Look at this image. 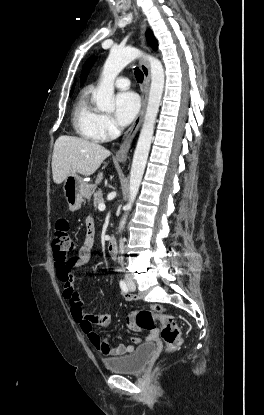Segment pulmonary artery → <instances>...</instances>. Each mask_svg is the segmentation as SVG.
<instances>
[{
    "mask_svg": "<svg viewBox=\"0 0 264 415\" xmlns=\"http://www.w3.org/2000/svg\"><path fill=\"white\" fill-rule=\"evenodd\" d=\"M114 85L118 89L126 90L130 87V81L128 78L121 76L115 80Z\"/></svg>",
    "mask_w": 264,
    "mask_h": 415,
    "instance_id": "obj_1",
    "label": "pulmonary artery"
}]
</instances>
